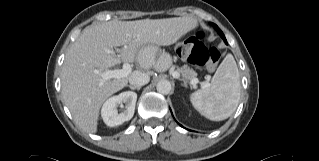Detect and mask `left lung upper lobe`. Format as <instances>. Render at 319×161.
<instances>
[{
	"label": "left lung upper lobe",
	"instance_id": "left-lung-upper-lobe-1",
	"mask_svg": "<svg viewBox=\"0 0 319 161\" xmlns=\"http://www.w3.org/2000/svg\"><path fill=\"white\" fill-rule=\"evenodd\" d=\"M218 33L220 34V36L223 38V40L225 41V43H227L226 38L224 36V34L222 33V31L220 29H218Z\"/></svg>",
	"mask_w": 319,
	"mask_h": 161
}]
</instances>
